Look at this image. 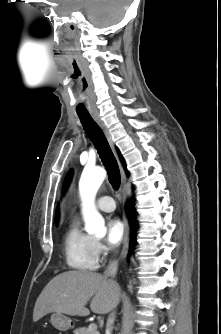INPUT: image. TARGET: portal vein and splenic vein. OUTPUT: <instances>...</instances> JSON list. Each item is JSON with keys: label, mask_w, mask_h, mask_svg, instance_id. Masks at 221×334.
I'll return each instance as SVG.
<instances>
[{"label": "portal vein and splenic vein", "mask_w": 221, "mask_h": 334, "mask_svg": "<svg viewBox=\"0 0 221 334\" xmlns=\"http://www.w3.org/2000/svg\"><path fill=\"white\" fill-rule=\"evenodd\" d=\"M88 330H89L90 332H95V331H97V325H96L95 323H91V324L89 325Z\"/></svg>", "instance_id": "1"}]
</instances>
